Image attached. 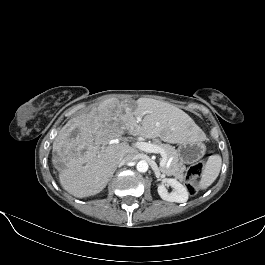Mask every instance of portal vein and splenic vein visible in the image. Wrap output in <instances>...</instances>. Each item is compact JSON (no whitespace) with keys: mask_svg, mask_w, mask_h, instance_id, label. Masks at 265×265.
<instances>
[{"mask_svg":"<svg viewBox=\"0 0 265 265\" xmlns=\"http://www.w3.org/2000/svg\"><path fill=\"white\" fill-rule=\"evenodd\" d=\"M111 143H115L114 141H111ZM135 146L147 153H156V154H160L162 159L160 161V166H168L169 165V161L167 160V155L166 152L159 146L152 144V143H148V142H136Z\"/></svg>","mask_w":265,"mask_h":265,"instance_id":"1","label":"portal vein and splenic vein"}]
</instances>
